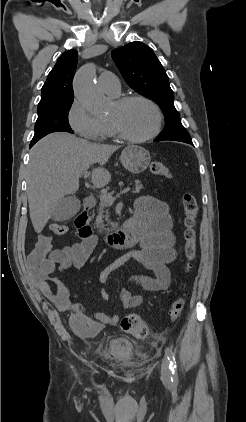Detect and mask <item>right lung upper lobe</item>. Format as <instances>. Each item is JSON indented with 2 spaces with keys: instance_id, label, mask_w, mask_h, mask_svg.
<instances>
[{
  "instance_id": "1",
  "label": "right lung upper lobe",
  "mask_w": 246,
  "mask_h": 422,
  "mask_svg": "<svg viewBox=\"0 0 246 422\" xmlns=\"http://www.w3.org/2000/svg\"><path fill=\"white\" fill-rule=\"evenodd\" d=\"M76 50L64 52L49 73L42 87V96L38 107L64 99H74L72 80L77 66Z\"/></svg>"
}]
</instances>
